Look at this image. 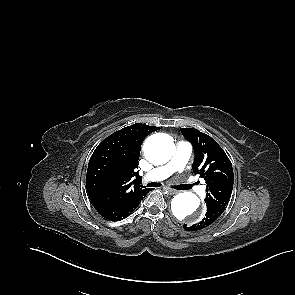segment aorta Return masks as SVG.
Instances as JSON below:
<instances>
[{"label":"aorta","mask_w":295,"mask_h":295,"mask_svg":"<svg viewBox=\"0 0 295 295\" xmlns=\"http://www.w3.org/2000/svg\"><path fill=\"white\" fill-rule=\"evenodd\" d=\"M174 151L172 138L163 133L150 136L144 144V154L148 161L161 165L170 160ZM199 198L192 192H183L174 196L171 201V210L176 219L188 224L200 221L201 214Z\"/></svg>","instance_id":"762f6f07"}]
</instances>
